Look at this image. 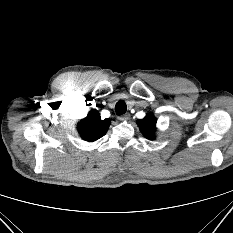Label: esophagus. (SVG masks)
Returning a JSON list of instances; mask_svg holds the SVG:
<instances>
[{"label":"esophagus","mask_w":233,"mask_h":233,"mask_svg":"<svg viewBox=\"0 0 233 233\" xmlns=\"http://www.w3.org/2000/svg\"><path fill=\"white\" fill-rule=\"evenodd\" d=\"M129 118H130L129 114H123L119 117V120L125 121V120H128Z\"/></svg>","instance_id":"34e87169"}]
</instances>
